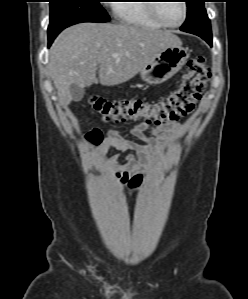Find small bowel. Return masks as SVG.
<instances>
[{"label":"small bowel","instance_id":"1","mask_svg":"<svg viewBox=\"0 0 248 299\" xmlns=\"http://www.w3.org/2000/svg\"><path fill=\"white\" fill-rule=\"evenodd\" d=\"M187 124L168 122L161 126L153 127L147 123H137L131 128L134 137L145 142L139 145L121 136L117 131L110 130L103 135L99 130H93L86 134V141L96 148L99 155H103L109 148L121 152H131L139 155L143 162L153 163L158 157H162L166 151L171 149L176 138L186 129ZM108 167L112 170L115 178L121 183L126 181L128 172L135 170L141 162L131 156L127 167L120 168L116 157L108 160Z\"/></svg>","mask_w":248,"mask_h":299}]
</instances>
